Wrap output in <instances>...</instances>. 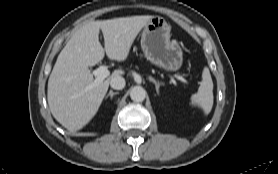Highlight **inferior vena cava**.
<instances>
[{"instance_id":"1","label":"inferior vena cava","mask_w":278,"mask_h":174,"mask_svg":"<svg viewBox=\"0 0 278 174\" xmlns=\"http://www.w3.org/2000/svg\"><path fill=\"white\" fill-rule=\"evenodd\" d=\"M110 85L113 89L121 90L125 87V79L121 76H115L111 79Z\"/></svg>"}]
</instances>
